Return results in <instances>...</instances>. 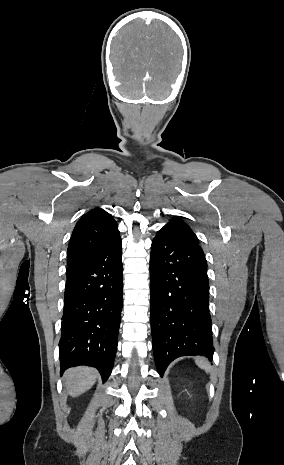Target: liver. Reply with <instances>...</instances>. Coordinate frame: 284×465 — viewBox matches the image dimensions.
Returning <instances> with one entry per match:
<instances>
[{"mask_svg":"<svg viewBox=\"0 0 284 465\" xmlns=\"http://www.w3.org/2000/svg\"><path fill=\"white\" fill-rule=\"evenodd\" d=\"M66 387L70 397H79L82 393H86L96 383L98 377L96 369L90 367H75L69 369L65 375Z\"/></svg>","mask_w":284,"mask_h":465,"instance_id":"1","label":"liver"}]
</instances>
